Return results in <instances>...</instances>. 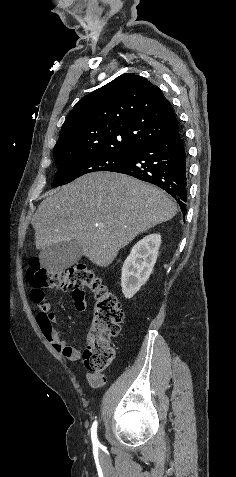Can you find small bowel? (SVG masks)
Here are the masks:
<instances>
[{
  "label": "small bowel",
  "instance_id": "obj_1",
  "mask_svg": "<svg viewBox=\"0 0 236 477\" xmlns=\"http://www.w3.org/2000/svg\"><path fill=\"white\" fill-rule=\"evenodd\" d=\"M73 301L78 310H85L88 306L83 294H74ZM35 302L39 307V311L36 315V323L44 338L53 345L57 352L61 353L69 361L78 360L80 358V350L68 345L60 337L59 332L55 328L57 321L56 315L52 310L51 304L44 300V293L43 298ZM87 378L92 385L98 384L101 380L98 374H90Z\"/></svg>",
  "mask_w": 236,
  "mask_h": 477
}]
</instances>
